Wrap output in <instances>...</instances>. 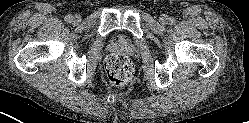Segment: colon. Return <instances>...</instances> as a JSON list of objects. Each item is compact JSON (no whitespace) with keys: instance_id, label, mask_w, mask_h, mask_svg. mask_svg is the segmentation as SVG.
<instances>
[{"instance_id":"colon-1","label":"colon","mask_w":249,"mask_h":123,"mask_svg":"<svg viewBox=\"0 0 249 123\" xmlns=\"http://www.w3.org/2000/svg\"><path fill=\"white\" fill-rule=\"evenodd\" d=\"M104 68L107 81L116 88L127 86L134 73L132 62L122 53H114L108 56Z\"/></svg>"}]
</instances>
